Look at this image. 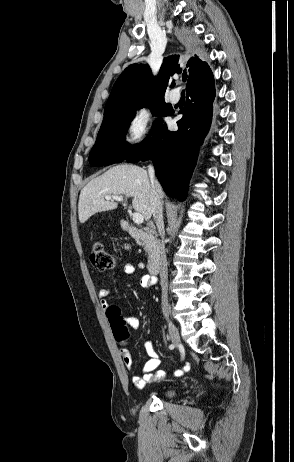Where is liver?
Wrapping results in <instances>:
<instances>
[{
  "label": "liver",
  "instance_id": "obj_1",
  "mask_svg": "<svg viewBox=\"0 0 294 462\" xmlns=\"http://www.w3.org/2000/svg\"><path fill=\"white\" fill-rule=\"evenodd\" d=\"M157 188L162 198L163 191L158 182ZM106 195L132 197L134 210L142 214L145 220H150L151 183L147 171L141 167L117 165L91 180L81 190L79 197L78 215L81 223L98 212L114 210L118 207V203L107 200Z\"/></svg>",
  "mask_w": 294,
  "mask_h": 462
}]
</instances>
